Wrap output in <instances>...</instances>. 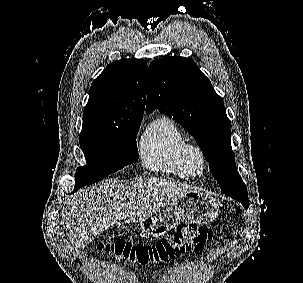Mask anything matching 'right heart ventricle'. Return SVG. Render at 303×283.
Listing matches in <instances>:
<instances>
[{"label": "right heart ventricle", "mask_w": 303, "mask_h": 283, "mask_svg": "<svg viewBox=\"0 0 303 283\" xmlns=\"http://www.w3.org/2000/svg\"><path fill=\"white\" fill-rule=\"evenodd\" d=\"M188 140L177 123L166 116L152 120L140 141V154L145 168L187 179L189 174L184 163V149Z\"/></svg>", "instance_id": "1"}]
</instances>
